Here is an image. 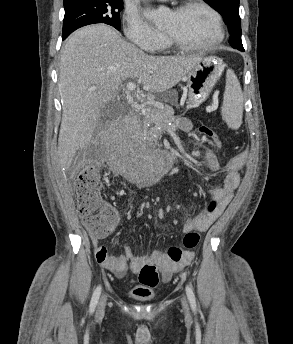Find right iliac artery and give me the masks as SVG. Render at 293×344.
I'll list each match as a JSON object with an SVG mask.
<instances>
[{
  "label": "right iliac artery",
  "instance_id": "right-iliac-artery-1",
  "mask_svg": "<svg viewBox=\"0 0 293 344\" xmlns=\"http://www.w3.org/2000/svg\"><path fill=\"white\" fill-rule=\"evenodd\" d=\"M100 293H101V286H98L96 288V290L94 291L93 293V296H92V299H91V303H90V312L92 313L95 308H96V305L98 303V300H99V296H100Z\"/></svg>",
  "mask_w": 293,
  "mask_h": 344
}]
</instances>
